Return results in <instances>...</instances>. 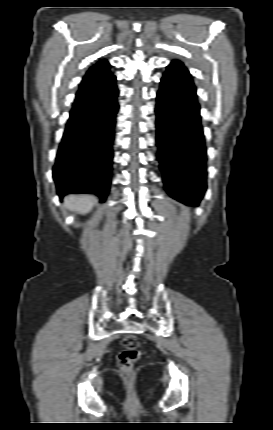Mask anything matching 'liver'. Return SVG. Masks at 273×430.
<instances>
[{
  "mask_svg": "<svg viewBox=\"0 0 273 430\" xmlns=\"http://www.w3.org/2000/svg\"><path fill=\"white\" fill-rule=\"evenodd\" d=\"M95 203V198L88 195H70L65 197V206L73 211H78L80 213H87L91 210Z\"/></svg>",
  "mask_w": 273,
  "mask_h": 430,
  "instance_id": "1",
  "label": "liver"
}]
</instances>
